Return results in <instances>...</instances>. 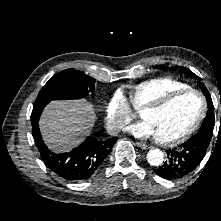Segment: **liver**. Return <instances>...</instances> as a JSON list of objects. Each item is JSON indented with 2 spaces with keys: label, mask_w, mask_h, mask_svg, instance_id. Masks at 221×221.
<instances>
[{
  "label": "liver",
  "mask_w": 221,
  "mask_h": 221,
  "mask_svg": "<svg viewBox=\"0 0 221 221\" xmlns=\"http://www.w3.org/2000/svg\"><path fill=\"white\" fill-rule=\"evenodd\" d=\"M95 117L92 104L86 100L52 101L41 116L40 132L54 152H65L88 134Z\"/></svg>",
  "instance_id": "obj_1"
}]
</instances>
